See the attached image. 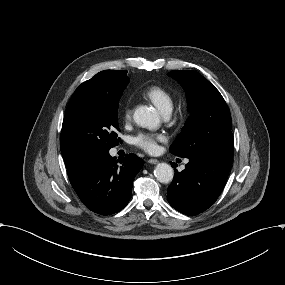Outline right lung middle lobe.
Here are the masks:
<instances>
[{
  "label": "right lung middle lobe",
  "instance_id": "obj_1",
  "mask_svg": "<svg viewBox=\"0 0 285 285\" xmlns=\"http://www.w3.org/2000/svg\"><path fill=\"white\" fill-rule=\"evenodd\" d=\"M124 70L118 78L101 82L92 77L74 92L67 107L60 136L65 162L108 152L118 144V102L129 78Z\"/></svg>",
  "mask_w": 285,
  "mask_h": 285
}]
</instances>
